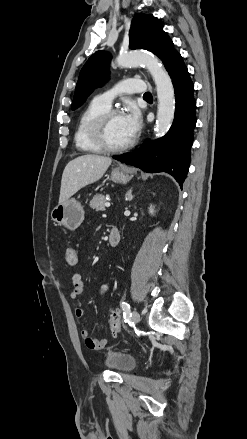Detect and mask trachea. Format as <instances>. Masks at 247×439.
Masks as SVG:
<instances>
[{
	"instance_id": "1",
	"label": "trachea",
	"mask_w": 247,
	"mask_h": 439,
	"mask_svg": "<svg viewBox=\"0 0 247 439\" xmlns=\"http://www.w3.org/2000/svg\"><path fill=\"white\" fill-rule=\"evenodd\" d=\"M143 97L144 98H152V95H151V93L146 92Z\"/></svg>"
}]
</instances>
